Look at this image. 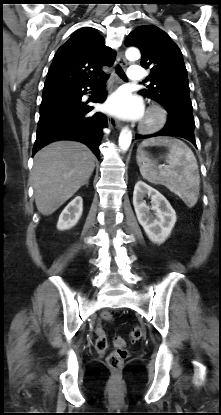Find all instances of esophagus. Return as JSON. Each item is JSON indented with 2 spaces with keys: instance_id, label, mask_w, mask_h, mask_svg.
Masks as SVG:
<instances>
[{
  "instance_id": "34e87169",
  "label": "esophagus",
  "mask_w": 221,
  "mask_h": 415,
  "mask_svg": "<svg viewBox=\"0 0 221 415\" xmlns=\"http://www.w3.org/2000/svg\"><path fill=\"white\" fill-rule=\"evenodd\" d=\"M118 63L121 66H126L127 65V61H126V59H125V57H124V55H123L122 52L119 53ZM108 122H109V125L111 127H113V128L120 129L122 127V123L119 120H117L116 118H114V117H109L108 118Z\"/></svg>"
}]
</instances>
